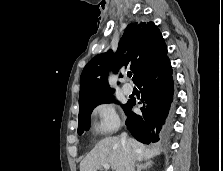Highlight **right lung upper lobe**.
<instances>
[{"label":"right lung upper lobe","instance_id":"right-lung-upper-lobe-1","mask_svg":"<svg viewBox=\"0 0 223 171\" xmlns=\"http://www.w3.org/2000/svg\"><path fill=\"white\" fill-rule=\"evenodd\" d=\"M167 59L166 44L153 22L130 23L115 54L108 50L85 66L80 79L79 108L113 94L108 84L110 69L117 73L122 65L131 63L133 80L137 83Z\"/></svg>","mask_w":223,"mask_h":171}]
</instances>
